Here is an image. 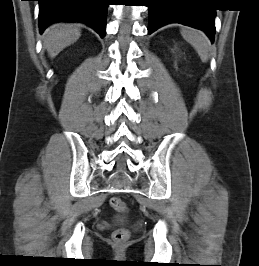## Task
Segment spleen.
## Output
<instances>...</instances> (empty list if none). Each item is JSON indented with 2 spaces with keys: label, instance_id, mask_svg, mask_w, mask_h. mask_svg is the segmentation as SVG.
<instances>
[{
  "label": "spleen",
  "instance_id": "obj_1",
  "mask_svg": "<svg viewBox=\"0 0 259 266\" xmlns=\"http://www.w3.org/2000/svg\"><path fill=\"white\" fill-rule=\"evenodd\" d=\"M181 35L194 47L202 62H207L209 57V39L207 36L202 31L188 27L182 28Z\"/></svg>",
  "mask_w": 259,
  "mask_h": 266
}]
</instances>
